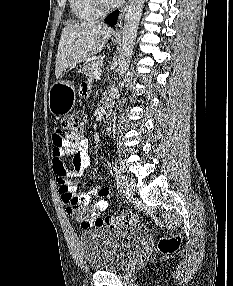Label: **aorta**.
<instances>
[{"label":"aorta","instance_id":"762f6f07","mask_svg":"<svg viewBox=\"0 0 233 286\" xmlns=\"http://www.w3.org/2000/svg\"><path fill=\"white\" fill-rule=\"evenodd\" d=\"M144 3L145 0H130L126 9L122 32V51L119 57V75L121 77L129 67Z\"/></svg>","mask_w":233,"mask_h":286}]
</instances>
